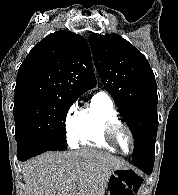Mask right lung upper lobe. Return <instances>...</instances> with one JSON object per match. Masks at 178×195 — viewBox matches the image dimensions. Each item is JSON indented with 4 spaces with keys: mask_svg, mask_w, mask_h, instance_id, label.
<instances>
[{
    "mask_svg": "<svg viewBox=\"0 0 178 195\" xmlns=\"http://www.w3.org/2000/svg\"><path fill=\"white\" fill-rule=\"evenodd\" d=\"M84 37L70 31L49 34L31 49L18 70L15 97L25 94L78 99L96 86Z\"/></svg>",
    "mask_w": 178,
    "mask_h": 195,
    "instance_id": "right-lung-upper-lobe-1",
    "label": "right lung upper lobe"
}]
</instances>
